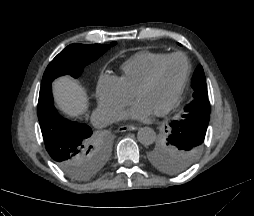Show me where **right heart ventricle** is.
Masks as SVG:
<instances>
[{
    "instance_id": "1",
    "label": "right heart ventricle",
    "mask_w": 254,
    "mask_h": 216,
    "mask_svg": "<svg viewBox=\"0 0 254 216\" xmlns=\"http://www.w3.org/2000/svg\"><path fill=\"white\" fill-rule=\"evenodd\" d=\"M168 54L155 51H141L121 65L118 80L129 93L134 94L137 88L148 77L154 66Z\"/></svg>"
}]
</instances>
